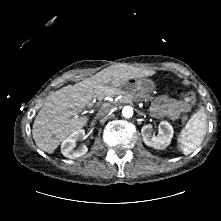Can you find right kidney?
Returning a JSON list of instances; mask_svg holds the SVG:
<instances>
[{
	"mask_svg": "<svg viewBox=\"0 0 221 221\" xmlns=\"http://www.w3.org/2000/svg\"><path fill=\"white\" fill-rule=\"evenodd\" d=\"M85 135V130L80 129L71 133L61 144V153L70 159H76L85 155L88 151L86 145H83L79 149H74L76 147V142L81 140Z\"/></svg>",
	"mask_w": 221,
	"mask_h": 221,
	"instance_id": "right-kidney-1",
	"label": "right kidney"
}]
</instances>
